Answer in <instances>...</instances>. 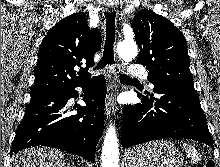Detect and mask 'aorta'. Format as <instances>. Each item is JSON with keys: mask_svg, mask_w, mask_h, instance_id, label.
Returning <instances> with one entry per match:
<instances>
[{"mask_svg": "<svg viewBox=\"0 0 220 167\" xmlns=\"http://www.w3.org/2000/svg\"><path fill=\"white\" fill-rule=\"evenodd\" d=\"M118 55L125 63H129L137 56V45L133 39H124L118 43ZM102 167H119V146L115 127L110 125L102 146Z\"/></svg>", "mask_w": 220, "mask_h": 167, "instance_id": "aorta-1", "label": "aorta"}]
</instances>
